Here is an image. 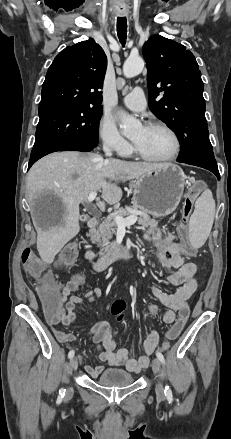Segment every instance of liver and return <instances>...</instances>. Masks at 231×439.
<instances>
[{
  "mask_svg": "<svg viewBox=\"0 0 231 439\" xmlns=\"http://www.w3.org/2000/svg\"><path fill=\"white\" fill-rule=\"evenodd\" d=\"M167 163H133L104 159L96 153L56 152L37 161L27 175L32 202L39 194L52 195L60 203L50 216L36 217L37 250L51 264L64 245L80 231L79 205L91 192H101L104 201L117 204L122 198L119 182L140 176Z\"/></svg>",
  "mask_w": 231,
  "mask_h": 439,
  "instance_id": "1",
  "label": "liver"
}]
</instances>
